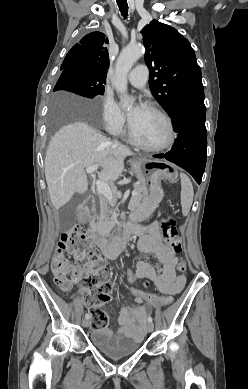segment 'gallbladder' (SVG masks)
I'll use <instances>...</instances> for the list:
<instances>
[{
    "label": "gallbladder",
    "instance_id": "obj_1",
    "mask_svg": "<svg viewBox=\"0 0 248 389\" xmlns=\"http://www.w3.org/2000/svg\"><path fill=\"white\" fill-rule=\"evenodd\" d=\"M85 198H86V194H76L72 197L70 202L65 207V209L68 210V215L71 218V223H74L76 220V213H75L76 206L81 204Z\"/></svg>",
    "mask_w": 248,
    "mask_h": 389
}]
</instances>
